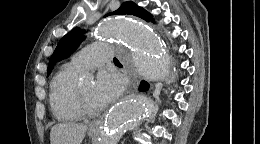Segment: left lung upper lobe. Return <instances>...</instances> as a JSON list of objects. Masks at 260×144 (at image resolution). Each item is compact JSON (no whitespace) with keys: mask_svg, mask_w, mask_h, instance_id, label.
Segmentation results:
<instances>
[{"mask_svg":"<svg viewBox=\"0 0 260 144\" xmlns=\"http://www.w3.org/2000/svg\"><path fill=\"white\" fill-rule=\"evenodd\" d=\"M114 14H127V15H135L138 16L146 21H151L152 15L149 14L145 9L138 6L132 1H127L123 3L119 9L111 13L110 15ZM82 42V36L80 33V30L78 28H74L71 30L68 34H66L64 37L61 38L59 41L54 53L52 54L48 69H47V75L51 73V70L54 66V64L58 61H61L67 57H69L75 49L79 46V44Z\"/></svg>","mask_w":260,"mask_h":144,"instance_id":"left-lung-upper-lobe-1","label":"left lung upper lobe"}]
</instances>
